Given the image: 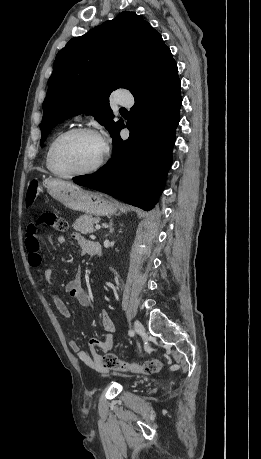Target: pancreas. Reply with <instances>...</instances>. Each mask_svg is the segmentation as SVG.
Here are the masks:
<instances>
[{"mask_svg":"<svg viewBox=\"0 0 261 459\" xmlns=\"http://www.w3.org/2000/svg\"><path fill=\"white\" fill-rule=\"evenodd\" d=\"M100 219L98 217H93L89 214L81 215L72 225L74 230L81 232L82 234L93 233L95 229L93 225L98 223Z\"/></svg>","mask_w":261,"mask_h":459,"instance_id":"1","label":"pancreas"}]
</instances>
